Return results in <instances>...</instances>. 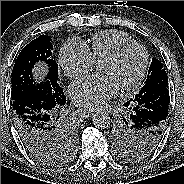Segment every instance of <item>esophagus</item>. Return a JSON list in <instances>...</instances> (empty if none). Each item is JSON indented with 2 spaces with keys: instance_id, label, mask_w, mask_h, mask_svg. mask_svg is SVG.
<instances>
[{
  "instance_id": "1",
  "label": "esophagus",
  "mask_w": 184,
  "mask_h": 184,
  "mask_svg": "<svg viewBox=\"0 0 184 184\" xmlns=\"http://www.w3.org/2000/svg\"><path fill=\"white\" fill-rule=\"evenodd\" d=\"M101 110H83L85 113L100 112Z\"/></svg>"
}]
</instances>
